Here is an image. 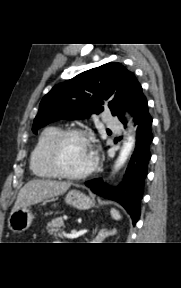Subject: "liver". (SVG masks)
<instances>
[{"label":"liver","instance_id":"1","mask_svg":"<svg viewBox=\"0 0 181 288\" xmlns=\"http://www.w3.org/2000/svg\"><path fill=\"white\" fill-rule=\"evenodd\" d=\"M71 186L68 182H58L44 179H33L26 183L18 193L11 213L20 208H27L45 199L65 193Z\"/></svg>","mask_w":181,"mask_h":288}]
</instances>
